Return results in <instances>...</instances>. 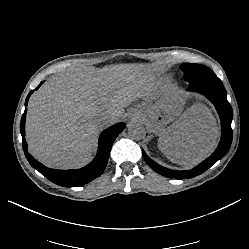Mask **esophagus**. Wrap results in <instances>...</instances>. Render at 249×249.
Listing matches in <instances>:
<instances>
[{
  "mask_svg": "<svg viewBox=\"0 0 249 249\" xmlns=\"http://www.w3.org/2000/svg\"><path fill=\"white\" fill-rule=\"evenodd\" d=\"M142 119V116L139 112L135 110H131L128 113V122H134V121H140Z\"/></svg>",
  "mask_w": 249,
  "mask_h": 249,
  "instance_id": "1",
  "label": "esophagus"
}]
</instances>
